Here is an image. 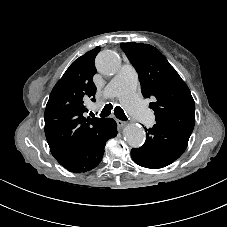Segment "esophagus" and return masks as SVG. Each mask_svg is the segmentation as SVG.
Masks as SVG:
<instances>
[{
  "label": "esophagus",
  "mask_w": 227,
  "mask_h": 227,
  "mask_svg": "<svg viewBox=\"0 0 227 227\" xmlns=\"http://www.w3.org/2000/svg\"><path fill=\"white\" fill-rule=\"evenodd\" d=\"M116 123H117L118 128H120V129L123 128L126 124L124 121L119 120V119H116Z\"/></svg>",
  "instance_id": "obj_1"
}]
</instances>
